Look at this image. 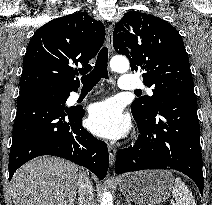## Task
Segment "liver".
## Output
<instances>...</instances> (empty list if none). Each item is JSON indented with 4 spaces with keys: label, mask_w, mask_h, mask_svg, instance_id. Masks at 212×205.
<instances>
[{
    "label": "liver",
    "mask_w": 212,
    "mask_h": 205,
    "mask_svg": "<svg viewBox=\"0 0 212 205\" xmlns=\"http://www.w3.org/2000/svg\"><path fill=\"white\" fill-rule=\"evenodd\" d=\"M77 186L75 164L41 156L15 172L10 188L14 205H74Z\"/></svg>",
    "instance_id": "6515ba94"
}]
</instances>
